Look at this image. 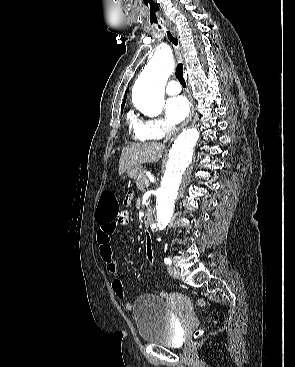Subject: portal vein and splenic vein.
I'll list each match as a JSON object with an SVG mask.
<instances>
[{"label": "portal vein and splenic vein", "instance_id": "portal-vein-and-splenic-vein-1", "mask_svg": "<svg viewBox=\"0 0 295 367\" xmlns=\"http://www.w3.org/2000/svg\"><path fill=\"white\" fill-rule=\"evenodd\" d=\"M145 186H146V187H148V186H149V181H148V180H146V181H145Z\"/></svg>", "mask_w": 295, "mask_h": 367}]
</instances>
